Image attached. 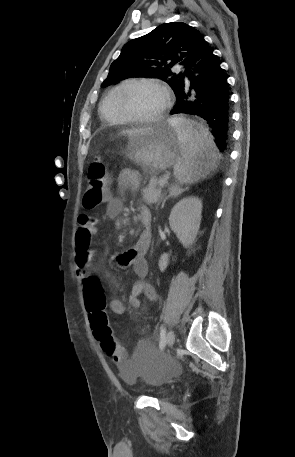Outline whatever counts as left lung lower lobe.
Instances as JSON below:
<instances>
[{
    "label": "left lung lower lobe",
    "mask_w": 295,
    "mask_h": 457,
    "mask_svg": "<svg viewBox=\"0 0 295 457\" xmlns=\"http://www.w3.org/2000/svg\"><path fill=\"white\" fill-rule=\"evenodd\" d=\"M187 82L176 93L171 114L189 113L202 117L211 126V136L220 152L230 138L229 90L223 69L205 40L196 48L185 73Z\"/></svg>",
    "instance_id": "obj_1"
}]
</instances>
